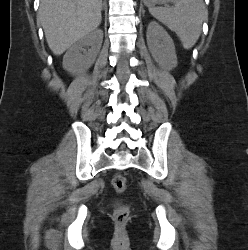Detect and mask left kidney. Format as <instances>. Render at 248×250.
<instances>
[{"label":"left kidney","instance_id":"left-kidney-1","mask_svg":"<svg viewBox=\"0 0 248 250\" xmlns=\"http://www.w3.org/2000/svg\"><path fill=\"white\" fill-rule=\"evenodd\" d=\"M147 45L152 57L162 69L170 71L177 66L173 40L156 21H151L148 25Z\"/></svg>","mask_w":248,"mask_h":250}]
</instances>
